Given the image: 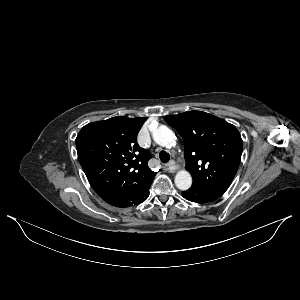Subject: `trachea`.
Returning a JSON list of instances; mask_svg holds the SVG:
<instances>
[{"mask_svg":"<svg viewBox=\"0 0 300 300\" xmlns=\"http://www.w3.org/2000/svg\"><path fill=\"white\" fill-rule=\"evenodd\" d=\"M159 159L162 163H167L170 160V155L166 151L159 153Z\"/></svg>","mask_w":300,"mask_h":300,"instance_id":"obj_1","label":"trachea"}]
</instances>
